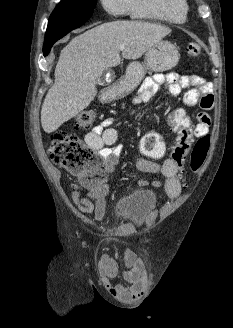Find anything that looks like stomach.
<instances>
[{
    "label": "stomach",
    "mask_w": 233,
    "mask_h": 328,
    "mask_svg": "<svg viewBox=\"0 0 233 328\" xmlns=\"http://www.w3.org/2000/svg\"><path fill=\"white\" fill-rule=\"evenodd\" d=\"M179 61V52L174 44L160 41L153 45L145 55V62H131L119 85L111 93V99L124 97L134 91L146 74V70L164 72L172 69Z\"/></svg>",
    "instance_id": "1"
}]
</instances>
